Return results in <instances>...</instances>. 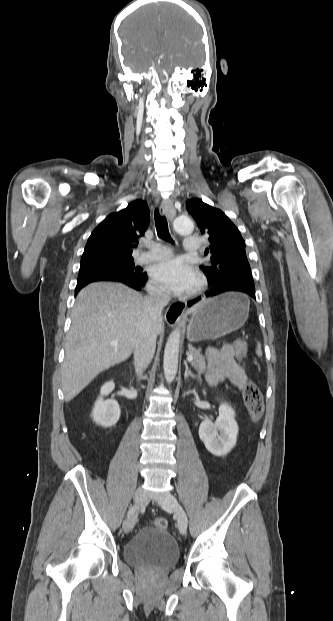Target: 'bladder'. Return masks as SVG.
Masks as SVG:
<instances>
[{
	"mask_svg": "<svg viewBox=\"0 0 333 621\" xmlns=\"http://www.w3.org/2000/svg\"><path fill=\"white\" fill-rule=\"evenodd\" d=\"M123 555L135 567L164 570L178 561L179 550L176 540L166 529L145 526L126 543Z\"/></svg>",
	"mask_w": 333,
	"mask_h": 621,
	"instance_id": "1",
	"label": "bladder"
}]
</instances>
